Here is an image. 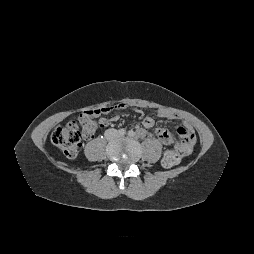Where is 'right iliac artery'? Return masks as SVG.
<instances>
[{
  "label": "right iliac artery",
  "instance_id": "1",
  "mask_svg": "<svg viewBox=\"0 0 254 254\" xmlns=\"http://www.w3.org/2000/svg\"><path fill=\"white\" fill-rule=\"evenodd\" d=\"M118 133H119L120 135H125V134H126V130H125V129H119V130H118Z\"/></svg>",
  "mask_w": 254,
  "mask_h": 254
}]
</instances>
